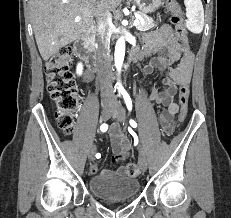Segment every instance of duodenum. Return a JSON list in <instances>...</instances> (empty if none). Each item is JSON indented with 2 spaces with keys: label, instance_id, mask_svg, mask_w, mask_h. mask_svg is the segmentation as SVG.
Masks as SVG:
<instances>
[{
  "label": "duodenum",
  "instance_id": "410a0bca",
  "mask_svg": "<svg viewBox=\"0 0 231 218\" xmlns=\"http://www.w3.org/2000/svg\"><path fill=\"white\" fill-rule=\"evenodd\" d=\"M94 30L91 28L84 34L82 37L77 39L74 43V48L78 55L85 61L88 69L91 72L97 71V59L94 53L92 52L91 42L93 38ZM133 60L139 59V54L133 52L131 55Z\"/></svg>",
  "mask_w": 231,
  "mask_h": 218
}]
</instances>
